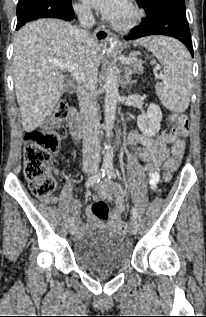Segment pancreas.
Segmentation results:
<instances>
[{
	"mask_svg": "<svg viewBox=\"0 0 206 317\" xmlns=\"http://www.w3.org/2000/svg\"><path fill=\"white\" fill-rule=\"evenodd\" d=\"M127 68H130L133 73H139L143 71V66L140 64L139 61L131 62V64H129Z\"/></svg>",
	"mask_w": 206,
	"mask_h": 317,
	"instance_id": "cf45deb5",
	"label": "pancreas"
}]
</instances>
